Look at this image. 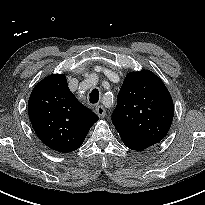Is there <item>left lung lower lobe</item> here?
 Returning <instances> with one entry per match:
<instances>
[{
	"label": "left lung lower lobe",
	"instance_id": "0a47b994",
	"mask_svg": "<svg viewBox=\"0 0 205 205\" xmlns=\"http://www.w3.org/2000/svg\"><path fill=\"white\" fill-rule=\"evenodd\" d=\"M123 143L130 148L131 150H136V151H142L148 147H150L149 145L142 143L138 140H135L127 135H125L124 133L118 132Z\"/></svg>",
	"mask_w": 205,
	"mask_h": 205
}]
</instances>
